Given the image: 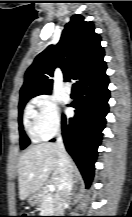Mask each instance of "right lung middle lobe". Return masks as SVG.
Segmentation results:
<instances>
[{"label": "right lung middle lobe", "mask_w": 132, "mask_h": 217, "mask_svg": "<svg viewBox=\"0 0 132 217\" xmlns=\"http://www.w3.org/2000/svg\"><path fill=\"white\" fill-rule=\"evenodd\" d=\"M32 97H24L20 99L19 102V117H18V122H19V132H20V147L21 149L26 148L30 144L29 138L26 136L24 130H23V125H22V113H23V108L26 104V102Z\"/></svg>", "instance_id": "right-lung-middle-lobe-1"}]
</instances>
